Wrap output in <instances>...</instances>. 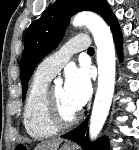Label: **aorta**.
<instances>
[{"instance_id":"obj_1","label":"aorta","mask_w":139,"mask_h":150,"mask_svg":"<svg viewBox=\"0 0 139 150\" xmlns=\"http://www.w3.org/2000/svg\"><path fill=\"white\" fill-rule=\"evenodd\" d=\"M72 24L85 25L97 46L98 86L89 125L90 138L95 140L104 126L114 94L115 46L109 26L99 15L83 11L74 16Z\"/></svg>"}]
</instances>
